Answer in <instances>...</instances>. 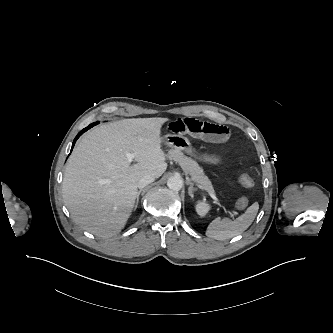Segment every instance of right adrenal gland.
Masks as SVG:
<instances>
[{"label":"right adrenal gland","instance_id":"obj_1","mask_svg":"<svg viewBox=\"0 0 333 333\" xmlns=\"http://www.w3.org/2000/svg\"><path fill=\"white\" fill-rule=\"evenodd\" d=\"M143 190H139L138 193H137V197H136V203H135V206H134V211L136 210L137 206H138V203H139V196L141 194Z\"/></svg>","mask_w":333,"mask_h":333}]
</instances>
